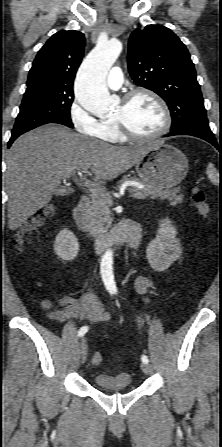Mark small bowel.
Masks as SVG:
<instances>
[{
	"label": "small bowel",
	"mask_w": 222,
	"mask_h": 447,
	"mask_svg": "<svg viewBox=\"0 0 222 447\" xmlns=\"http://www.w3.org/2000/svg\"><path fill=\"white\" fill-rule=\"evenodd\" d=\"M155 283L146 276H140L136 279L135 288L141 295H146L148 290L153 288ZM58 304L61 309H52L49 300L44 299L41 305L47 311L48 316L56 322H66L69 320H87L90 322H105L110 318V314L105 312L100 301L89 289L80 298H74L70 295H64L59 298Z\"/></svg>",
	"instance_id": "small-bowel-1"
}]
</instances>
